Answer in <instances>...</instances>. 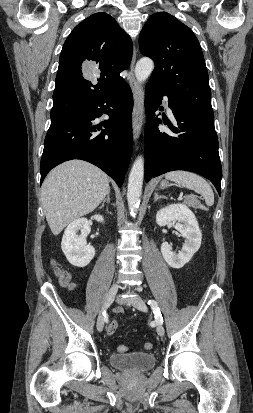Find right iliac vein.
I'll use <instances>...</instances> for the list:
<instances>
[{"label":"right iliac vein","instance_id":"right-iliac-vein-1","mask_svg":"<svg viewBox=\"0 0 253 413\" xmlns=\"http://www.w3.org/2000/svg\"><path fill=\"white\" fill-rule=\"evenodd\" d=\"M118 288H119V285L117 283L113 284L111 286V288L109 289L106 297H105L103 307H102V311L99 314L98 319H97V330L99 332H101L104 328L105 319H104V315H103V310L107 309L110 306V304L112 303V301L114 300V298L117 294Z\"/></svg>","mask_w":253,"mask_h":413}]
</instances>
